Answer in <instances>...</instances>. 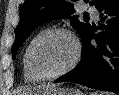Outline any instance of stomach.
I'll use <instances>...</instances> for the list:
<instances>
[{
	"label": "stomach",
	"mask_w": 119,
	"mask_h": 95,
	"mask_svg": "<svg viewBox=\"0 0 119 95\" xmlns=\"http://www.w3.org/2000/svg\"><path fill=\"white\" fill-rule=\"evenodd\" d=\"M25 95H85L75 88L46 87L25 93Z\"/></svg>",
	"instance_id": "0dacf381"
}]
</instances>
